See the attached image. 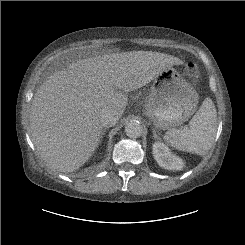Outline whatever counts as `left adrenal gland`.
I'll list each match as a JSON object with an SVG mask.
<instances>
[{"mask_svg":"<svg viewBox=\"0 0 245 245\" xmlns=\"http://www.w3.org/2000/svg\"><path fill=\"white\" fill-rule=\"evenodd\" d=\"M153 137H154L155 139H159V137H158V135H157V133H156V130H155V129H153Z\"/></svg>","mask_w":245,"mask_h":245,"instance_id":"1","label":"left adrenal gland"}]
</instances>
